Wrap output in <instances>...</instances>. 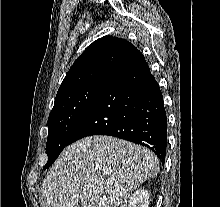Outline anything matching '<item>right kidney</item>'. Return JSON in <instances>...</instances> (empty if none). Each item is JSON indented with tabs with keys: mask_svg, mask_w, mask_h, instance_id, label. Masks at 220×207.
Instances as JSON below:
<instances>
[{
	"mask_svg": "<svg viewBox=\"0 0 220 207\" xmlns=\"http://www.w3.org/2000/svg\"><path fill=\"white\" fill-rule=\"evenodd\" d=\"M128 207H149L148 190L139 189L135 191L130 197Z\"/></svg>",
	"mask_w": 220,
	"mask_h": 207,
	"instance_id": "obj_1",
	"label": "right kidney"
}]
</instances>
